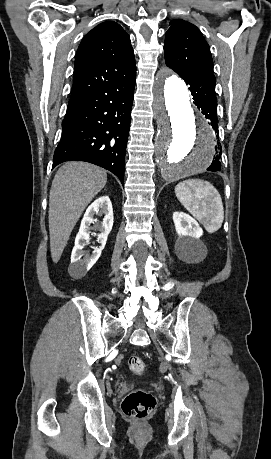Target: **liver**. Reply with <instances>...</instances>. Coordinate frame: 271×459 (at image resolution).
Instances as JSON below:
<instances>
[{
    "instance_id": "obj_1",
    "label": "liver",
    "mask_w": 271,
    "mask_h": 459,
    "mask_svg": "<svg viewBox=\"0 0 271 459\" xmlns=\"http://www.w3.org/2000/svg\"><path fill=\"white\" fill-rule=\"evenodd\" d=\"M106 182L105 170L86 162H66L56 172L49 196L50 251L54 263L59 261L82 212Z\"/></svg>"
}]
</instances>
